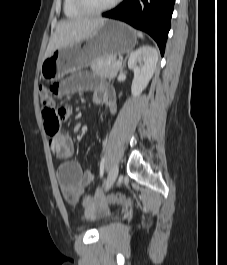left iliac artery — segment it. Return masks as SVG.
Masks as SVG:
<instances>
[{
  "label": "left iliac artery",
  "instance_id": "obj_1",
  "mask_svg": "<svg viewBox=\"0 0 227 265\" xmlns=\"http://www.w3.org/2000/svg\"><path fill=\"white\" fill-rule=\"evenodd\" d=\"M104 168H105V158L103 157L100 163V178L103 177Z\"/></svg>",
  "mask_w": 227,
  "mask_h": 265
}]
</instances>
